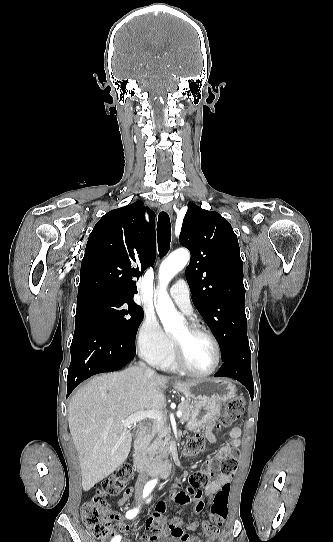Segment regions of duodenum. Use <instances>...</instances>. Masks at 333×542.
Segmentation results:
<instances>
[{
	"label": "duodenum",
	"mask_w": 333,
	"mask_h": 542,
	"mask_svg": "<svg viewBox=\"0 0 333 542\" xmlns=\"http://www.w3.org/2000/svg\"><path fill=\"white\" fill-rule=\"evenodd\" d=\"M144 444V435L139 433L134 442L133 465L134 468L141 474L168 477L171 473L172 466L164 460H151L142 454Z\"/></svg>",
	"instance_id": "1"
}]
</instances>
